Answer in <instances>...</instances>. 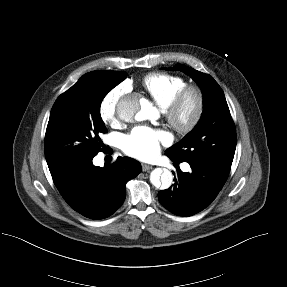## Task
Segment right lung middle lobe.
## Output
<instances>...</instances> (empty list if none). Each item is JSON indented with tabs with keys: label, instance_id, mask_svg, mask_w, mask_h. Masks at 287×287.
Segmentation results:
<instances>
[{
	"label": "right lung middle lobe",
	"instance_id": "right-lung-middle-lobe-1",
	"mask_svg": "<svg viewBox=\"0 0 287 287\" xmlns=\"http://www.w3.org/2000/svg\"><path fill=\"white\" fill-rule=\"evenodd\" d=\"M127 76L107 71L83 75L54 103L45 134V157L50 172L82 162L102 151L101 133L107 129L100 105L107 93Z\"/></svg>",
	"mask_w": 287,
	"mask_h": 287
}]
</instances>
